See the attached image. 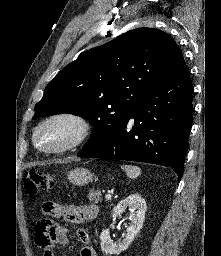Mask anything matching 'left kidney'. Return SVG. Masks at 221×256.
<instances>
[{
    "mask_svg": "<svg viewBox=\"0 0 221 256\" xmlns=\"http://www.w3.org/2000/svg\"><path fill=\"white\" fill-rule=\"evenodd\" d=\"M127 208L132 211V215L130 217L131 224L127 228L125 238L117 244L113 243L109 230H103L100 235L101 250L103 253L112 255L120 254L122 251H125L141 230L147 208L145 200L138 193L129 195L113 208L112 217L115 218L117 215L123 213Z\"/></svg>",
    "mask_w": 221,
    "mask_h": 256,
    "instance_id": "5707ae66",
    "label": "left kidney"
}]
</instances>
